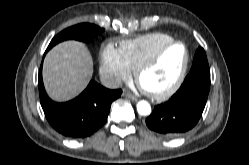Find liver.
Listing matches in <instances>:
<instances>
[{"mask_svg": "<svg viewBox=\"0 0 249 165\" xmlns=\"http://www.w3.org/2000/svg\"><path fill=\"white\" fill-rule=\"evenodd\" d=\"M93 74V61L84 44L70 40L59 43L45 57L43 80L48 95L58 102L79 95Z\"/></svg>", "mask_w": 249, "mask_h": 165, "instance_id": "obj_1", "label": "liver"}]
</instances>
